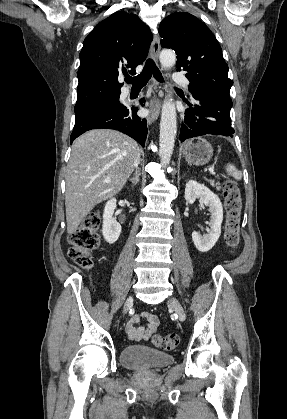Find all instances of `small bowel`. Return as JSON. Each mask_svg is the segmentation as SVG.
Listing matches in <instances>:
<instances>
[{"instance_id":"1","label":"small bowel","mask_w":287,"mask_h":419,"mask_svg":"<svg viewBox=\"0 0 287 419\" xmlns=\"http://www.w3.org/2000/svg\"><path fill=\"white\" fill-rule=\"evenodd\" d=\"M141 320H146L147 325L145 327L138 325ZM158 325L159 318L157 315L149 312H141L127 322L126 333L131 340H148L156 332Z\"/></svg>"}]
</instances>
